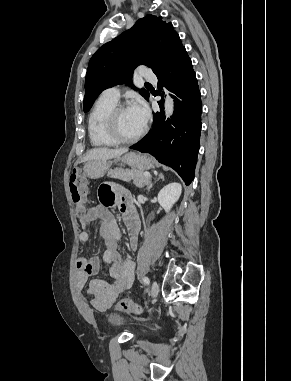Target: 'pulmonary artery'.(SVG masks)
Instances as JSON below:
<instances>
[{
    "label": "pulmonary artery",
    "mask_w": 291,
    "mask_h": 381,
    "mask_svg": "<svg viewBox=\"0 0 291 381\" xmlns=\"http://www.w3.org/2000/svg\"><path fill=\"white\" fill-rule=\"evenodd\" d=\"M140 73H141L142 78L146 81H149V82H156L157 81V78H156L155 74L153 73V71L146 66L140 67ZM119 95H120V91H119L118 87L107 88L102 92L103 97L110 98L113 100H118Z\"/></svg>",
    "instance_id": "pulmonary-artery-1"
}]
</instances>
